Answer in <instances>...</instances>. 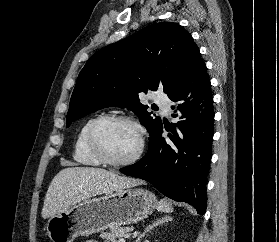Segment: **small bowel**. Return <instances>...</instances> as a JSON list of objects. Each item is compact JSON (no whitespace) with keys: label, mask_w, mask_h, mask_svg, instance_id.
<instances>
[{"label":"small bowel","mask_w":279,"mask_h":242,"mask_svg":"<svg viewBox=\"0 0 279 242\" xmlns=\"http://www.w3.org/2000/svg\"><path fill=\"white\" fill-rule=\"evenodd\" d=\"M85 242H97V241H95V240H88V241H85Z\"/></svg>","instance_id":"small-bowel-1"}]
</instances>
